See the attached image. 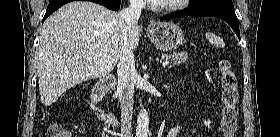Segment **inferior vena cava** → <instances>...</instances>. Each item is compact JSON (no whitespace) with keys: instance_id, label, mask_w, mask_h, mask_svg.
<instances>
[{"instance_id":"inferior-vena-cava-1","label":"inferior vena cava","mask_w":280,"mask_h":137,"mask_svg":"<svg viewBox=\"0 0 280 137\" xmlns=\"http://www.w3.org/2000/svg\"><path fill=\"white\" fill-rule=\"evenodd\" d=\"M145 6L143 0H130L129 7L121 10L120 18L124 22V37L117 64V94L121 108V131L119 137H133L132 134V111L135 73L134 54L128 39L129 34L135 29L141 10Z\"/></svg>"}]
</instances>
